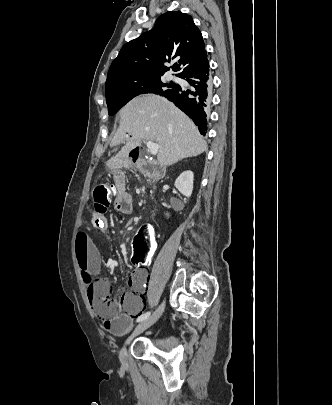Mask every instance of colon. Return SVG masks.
<instances>
[{"label": "colon", "instance_id": "colon-1", "mask_svg": "<svg viewBox=\"0 0 332 405\" xmlns=\"http://www.w3.org/2000/svg\"><path fill=\"white\" fill-rule=\"evenodd\" d=\"M118 191L117 184L102 183L94 189V206L99 208L101 215L93 217L95 225L104 221L103 215L112 208V201ZM156 232L150 231L148 226L140 227L135 233L133 247H131L132 267H149L150 260L156 255ZM87 287V286H86ZM88 296L90 302L98 315L107 320L117 316L120 308L129 300L128 295L116 297L113 294L111 283L107 279H98L88 286Z\"/></svg>", "mask_w": 332, "mask_h": 405}]
</instances>
